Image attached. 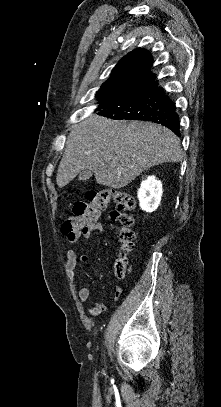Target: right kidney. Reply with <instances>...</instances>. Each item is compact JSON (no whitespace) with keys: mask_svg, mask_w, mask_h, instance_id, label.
<instances>
[{"mask_svg":"<svg viewBox=\"0 0 221 407\" xmlns=\"http://www.w3.org/2000/svg\"><path fill=\"white\" fill-rule=\"evenodd\" d=\"M163 190L162 183L155 176H148L141 182L138 189V200L142 210L151 213L154 212L161 201Z\"/></svg>","mask_w":221,"mask_h":407,"instance_id":"obj_1","label":"right kidney"}]
</instances>
